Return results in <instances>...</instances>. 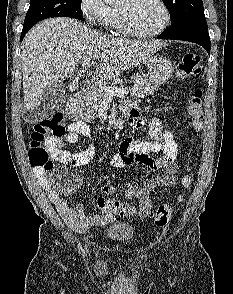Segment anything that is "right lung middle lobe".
Listing matches in <instances>:
<instances>
[{
  "label": "right lung middle lobe",
  "instance_id": "1",
  "mask_svg": "<svg viewBox=\"0 0 233 294\" xmlns=\"http://www.w3.org/2000/svg\"><path fill=\"white\" fill-rule=\"evenodd\" d=\"M82 0H30V7L24 20V28H31L37 22L50 17L82 18Z\"/></svg>",
  "mask_w": 233,
  "mask_h": 294
}]
</instances>
